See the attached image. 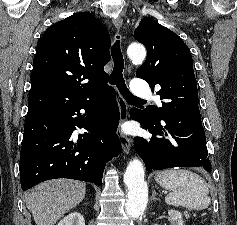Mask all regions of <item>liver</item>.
<instances>
[{"instance_id": "1", "label": "liver", "mask_w": 237, "mask_h": 225, "mask_svg": "<svg viewBox=\"0 0 237 225\" xmlns=\"http://www.w3.org/2000/svg\"><path fill=\"white\" fill-rule=\"evenodd\" d=\"M82 182L56 179L38 184L26 193V206L36 225H54L85 197Z\"/></svg>"}]
</instances>
